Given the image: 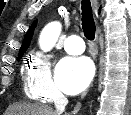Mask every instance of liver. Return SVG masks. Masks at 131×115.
<instances>
[{
	"label": "liver",
	"mask_w": 131,
	"mask_h": 115,
	"mask_svg": "<svg viewBox=\"0 0 131 115\" xmlns=\"http://www.w3.org/2000/svg\"><path fill=\"white\" fill-rule=\"evenodd\" d=\"M5 115H58L52 108L39 104H13Z\"/></svg>",
	"instance_id": "1"
}]
</instances>
